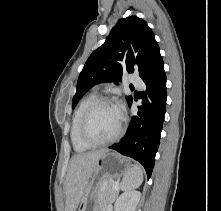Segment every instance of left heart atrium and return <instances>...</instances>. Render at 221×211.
Instances as JSON below:
<instances>
[{
	"label": "left heart atrium",
	"instance_id": "1",
	"mask_svg": "<svg viewBox=\"0 0 221 211\" xmlns=\"http://www.w3.org/2000/svg\"><path fill=\"white\" fill-rule=\"evenodd\" d=\"M116 108L119 110V112H120V110H121V106H116Z\"/></svg>",
	"mask_w": 221,
	"mask_h": 211
}]
</instances>
